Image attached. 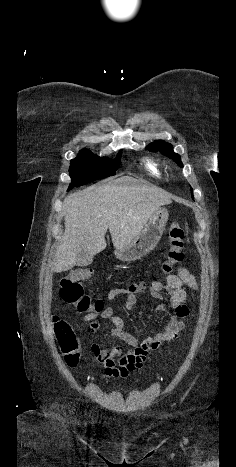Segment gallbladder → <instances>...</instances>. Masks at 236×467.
<instances>
[{"instance_id":"obj_1","label":"gallbladder","mask_w":236,"mask_h":467,"mask_svg":"<svg viewBox=\"0 0 236 467\" xmlns=\"http://www.w3.org/2000/svg\"><path fill=\"white\" fill-rule=\"evenodd\" d=\"M76 259L78 266L85 267L93 262V255L87 250H82L77 254Z\"/></svg>"}]
</instances>
